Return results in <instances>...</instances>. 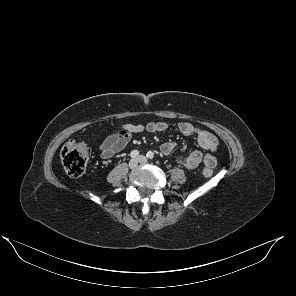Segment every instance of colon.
I'll list each match as a JSON object with an SVG mask.
<instances>
[{
  "label": "colon",
  "instance_id": "obj_1",
  "mask_svg": "<svg viewBox=\"0 0 296 296\" xmlns=\"http://www.w3.org/2000/svg\"><path fill=\"white\" fill-rule=\"evenodd\" d=\"M89 146L81 141L70 140L62 148L60 158L65 171L70 176L83 174L89 160ZM203 175L209 177L213 174L211 166H205Z\"/></svg>",
  "mask_w": 296,
  "mask_h": 296
}]
</instances>
